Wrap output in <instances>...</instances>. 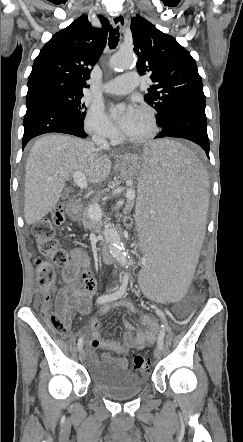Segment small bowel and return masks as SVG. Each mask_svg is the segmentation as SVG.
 I'll return each instance as SVG.
<instances>
[{
    "mask_svg": "<svg viewBox=\"0 0 243 442\" xmlns=\"http://www.w3.org/2000/svg\"><path fill=\"white\" fill-rule=\"evenodd\" d=\"M62 277L65 286L58 291L56 296V307L65 313L68 325L71 319L77 314L88 315L91 310V300L96 291V282L91 271V263L88 254L81 248L75 247L70 251V260L63 268ZM120 307L126 308L131 313L134 312L129 303H121ZM112 305L106 304L101 308L103 314H107ZM139 324L141 328L133 335L134 325L123 320V326L126 329L123 335V341L118 342L114 339H104L101 337L99 319L91 320L90 327L92 336L89 345L92 349L90 355L95 358L96 350H109L120 354L121 357H113L106 353L105 358L113 359L120 367H127L125 355L130 349H142L146 344H152L155 341L158 330L157 323L148 317H140Z\"/></svg>",
    "mask_w": 243,
    "mask_h": 442,
    "instance_id": "obj_1",
    "label": "small bowel"
}]
</instances>
